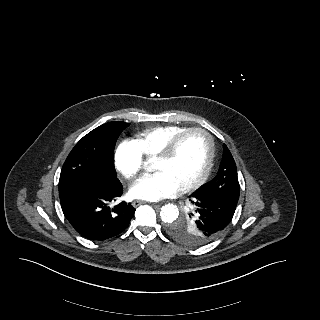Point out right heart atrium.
Returning <instances> with one entry per match:
<instances>
[{
    "instance_id": "obj_1",
    "label": "right heart atrium",
    "mask_w": 320,
    "mask_h": 320,
    "mask_svg": "<svg viewBox=\"0 0 320 320\" xmlns=\"http://www.w3.org/2000/svg\"><path fill=\"white\" fill-rule=\"evenodd\" d=\"M115 166L126 179L135 178L143 166V157L133 140L125 139L115 152Z\"/></svg>"
}]
</instances>
